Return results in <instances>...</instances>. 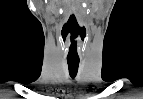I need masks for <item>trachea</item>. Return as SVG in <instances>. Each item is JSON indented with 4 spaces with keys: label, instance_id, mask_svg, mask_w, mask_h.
<instances>
[{
    "label": "trachea",
    "instance_id": "3493384b",
    "mask_svg": "<svg viewBox=\"0 0 143 99\" xmlns=\"http://www.w3.org/2000/svg\"><path fill=\"white\" fill-rule=\"evenodd\" d=\"M69 74L72 78L76 77L79 67V60H67Z\"/></svg>",
    "mask_w": 143,
    "mask_h": 99
}]
</instances>
